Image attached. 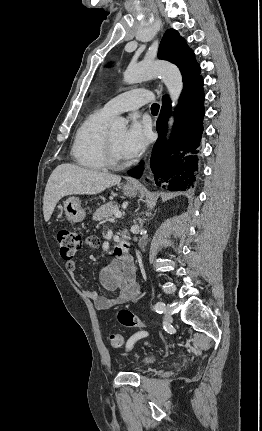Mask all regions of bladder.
<instances>
[{
	"label": "bladder",
	"mask_w": 262,
	"mask_h": 431,
	"mask_svg": "<svg viewBox=\"0 0 262 431\" xmlns=\"http://www.w3.org/2000/svg\"><path fill=\"white\" fill-rule=\"evenodd\" d=\"M155 361V356L146 354L141 358L140 368L144 369L150 366Z\"/></svg>",
	"instance_id": "obj_1"
}]
</instances>
